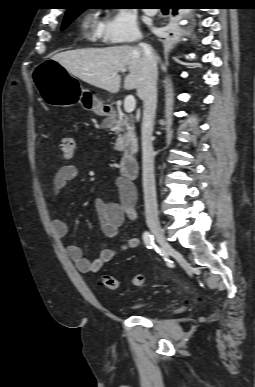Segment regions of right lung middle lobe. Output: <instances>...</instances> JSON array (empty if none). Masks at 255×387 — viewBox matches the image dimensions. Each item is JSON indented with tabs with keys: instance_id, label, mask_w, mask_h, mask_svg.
Returning <instances> with one entry per match:
<instances>
[{
	"instance_id": "right-lung-middle-lobe-1",
	"label": "right lung middle lobe",
	"mask_w": 255,
	"mask_h": 387,
	"mask_svg": "<svg viewBox=\"0 0 255 387\" xmlns=\"http://www.w3.org/2000/svg\"><path fill=\"white\" fill-rule=\"evenodd\" d=\"M80 8L82 7L74 8L66 13L61 28L62 30H64L70 22H72L84 10V8H82L83 10H80Z\"/></svg>"
}]
</instances>
